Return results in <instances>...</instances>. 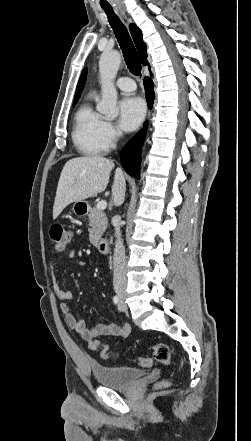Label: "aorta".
I'll list each match as a JSON object with an SVG mask.
<instances>
[{
  "label": "aorta",
  "mask_w": 251,
  "mask_h": 441,
  "mask_svg": "<svg viewBox=\"0 0 251 441\" xmlns=\"http://www.w3.org/2000/svg\"><path fill=\"white\" fill-rule=\"evenodd\" d=\"M120 63L121 55L118 51L103 53L99 60L102 98L97 105V110L111 118L116 117L119 113L114 79L117 75Z\"/></svg>",
  "instance_id": "1"
}]
</instances>
